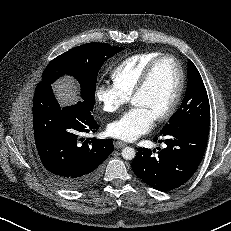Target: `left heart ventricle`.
<instances>
[{
    "label": "left heart ventricle",
    "instance_id": "left-heart-ventricle-1",
    "mask_svg": "<svg viewBox=\"0 0 231 231\" xmlns=\"http://www.w3.org/2000/svg\"><path fill=\"white\" fill-rule=\"evenodd\" d=\"M178 69L171 59L160 61L145 89L132 101L133 106L147 109L155 118L171 104L178 86Z\"/></svg>",
    "mask_w": 231,
    "mask_h": 231
}]
</instances>
